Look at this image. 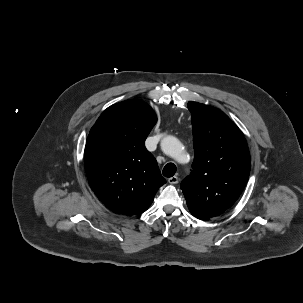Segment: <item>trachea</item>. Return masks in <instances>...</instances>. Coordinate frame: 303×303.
<instances>
[{"instance_id":"1","label":"trachea","mask_w":303,"mask_h":303,"mask_svg":"<svg viewBox=\"0 0 303 303\" xmlns=\"http://www.w3.org/2000/svg\"><path fill=\"white\" fill-rule=\"evenodd\" d=\"M176 172V166L173 163H168L165 165L164 169H163V175L165 177H172Z\"/></svg>"}]
</instances>
